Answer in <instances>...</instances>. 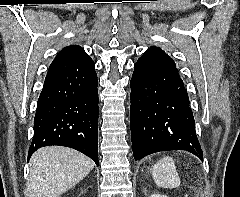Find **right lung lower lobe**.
Instances as JSON below:
<instances>
[{
	"label": "right lung lower lobe",
	"instance_id": "1",
	"mask_svg": "<svg viewBox=\"0 0 240 197\" xmlns=\"http://www.w3.org/2000/svg\"><path fill=\"white\" fill-rule=\"evenodd\" d=\"M98 80L95 67L47 74L37 102L29 157L39 148L76 149L98 165Z\"/></svg>",
	"mask_w": 240,
	"mask_h": 197
}]
</instances>
